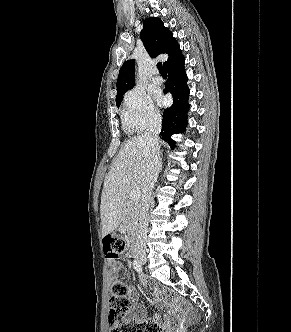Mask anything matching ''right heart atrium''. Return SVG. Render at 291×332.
<instances>
[{
  "mask_svg": "<svg viewBox=\"0 0 291 332\" xmlns=\"http://www.w3.org/2000/svg\"><path fill=\"white\" fill-rule=\"evenodd\" d=\"M122 118L127 129L147 130L160 122V114L150 97L140 88H132L124 96Z\"/></svg>",
  "mask_w": 291,
  "mask_h": 332,
  "instance_id": "obj_1",
  "label": "right heart atrium"
}]
</instances>
